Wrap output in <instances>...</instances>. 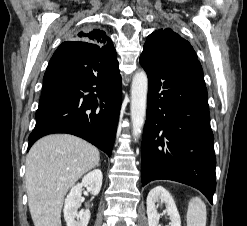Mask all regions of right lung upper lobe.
<instances>
[{
	"label": "right lung upper lobe",
	"instance_id": "obj_1",
	"mask_svg": "<svg viewBox=\"0 0 247 226\" xmlns=\"http://www.w3.org/2000/svg\"><path fill=\"white\" fill-rule=\"evenodd\" d=\"M74 38L76 40L89 44H95L107 49L113 47L112 41L109 39L106 33L100 29L80 31L74 35Z\"/></svg>",
	"mask_w": 247,
	"mask_h": 226
}]
</instances>
